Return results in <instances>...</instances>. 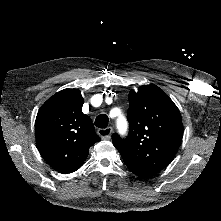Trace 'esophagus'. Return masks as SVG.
I'll list each match as a JSON object with an SVG mask.
<instances>
[{"label": "esophagus", "instance_id": "esophagus-1", "mask_svg": "<svg viewBox=\"0 0 221 221\" xmlns=\"http://www.w3.org/2000/svg\"><path fill=\"white\" fill-rule=\"evenodd\" d=\"M112 130V127H106L104 129H99L97 133L103 140H109L111 138Z\"/></svg>", "mask_w": 221, "mask_h": 221}]
</instances>
